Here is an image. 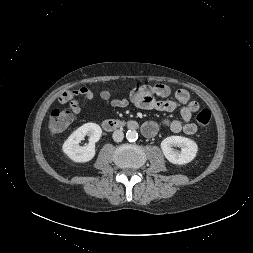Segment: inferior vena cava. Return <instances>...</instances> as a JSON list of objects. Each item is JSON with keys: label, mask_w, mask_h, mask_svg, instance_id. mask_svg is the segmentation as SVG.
I'll list each match as a JSON object with an SVG mask.
<instances>
[{"label": "inferior vena cava", "mask_w": 253, "mask_h": 253, "mask_svg": "<svg viewBox=\"0 0 253 253\" xmlns=\"http://www.w3.org/2000/svg\"><path fill=\"white\" fill-rule=\"evenodd\" d=\"M112 137L115 142H121L124 138V133L122 130H115Z\"/></svg>", "instance_id": "1"}]
</instances>
